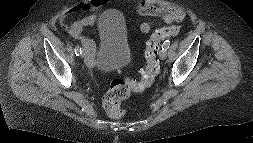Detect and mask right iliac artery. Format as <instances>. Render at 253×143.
Returning a JSON list of instances; mask_svg holds the SVG:
<instances>
[{
    "label": "right iliac artery",
    "instance_id": "right-iliac-artery-1",
    "mask_svg": "<svg viewBox=\"0 0 253 143\" xmlns=\"http://www.w3.org/2000/svg\"><path fill=\"white\" fill-rule=\"evenodd\" d=\"M75 54H76L77 56H80V55L82 54L81 48H80L79 46H77V47L75 48Z\"/></svg>",
    "mask_w": 253,
    "mask_h": 143
}]
</instances>
